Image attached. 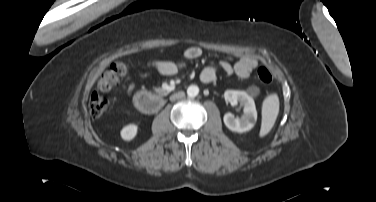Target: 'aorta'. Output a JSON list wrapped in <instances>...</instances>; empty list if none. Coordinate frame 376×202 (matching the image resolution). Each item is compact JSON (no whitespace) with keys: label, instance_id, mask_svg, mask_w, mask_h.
Returning <instances> with one entry per match:
<instances>
[{"label":"aorta","instance_id":"aorta-1","mask_svg":"<svg viewBox=\"0 0 376 202\" xmlns=\"http://www.w3.org/2000/svg\"><path fill=\"white\" fill-rule=\"evenodd\" d=\"M199 93V88L196 85H190L187 89V94L190 97H195Z\"/></svg>","mask_w":376,"mask_h":202}]
</instances>
